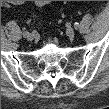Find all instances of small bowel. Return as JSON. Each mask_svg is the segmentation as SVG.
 Instances as JSON below:
<instances>
[{
    "label": "small bowel",
    "mask_w": 109,
    "mask_h": 109,
    "mask_svg": "<svg viewBox=\"0 0 109 109\" xmlns=\"http://www.w3.org/2000/svg\"><path fill=\"white\" fill-rule=\"evenodd\" d=\"M35 4L39 7L45 6L47 4V1H35Z\"/></svg>",
    "instance_id": "obj_1"
}]
</instances>
